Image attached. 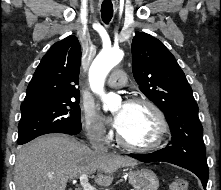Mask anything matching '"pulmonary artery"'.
I'll return each instance as SVG.
<instances>
[{
	"mask_svg": "<svg viewBox=\"0 0 221 190\" xmlns=\"http://www.w3.org/2000/svg\"><path fill=\"white\" fill-rule=\"evenodd\" d=\"M107 83L110 87L124 86L126 84V73L121 69L113 71Z\"/></svg>",
	"mask_w": 221,
	"mask_h": 190,
	"instance_id": "pulmonary-artery-1",
	"label": "pulmonary artery"
}]
</instances>
